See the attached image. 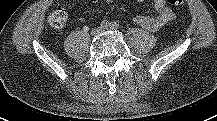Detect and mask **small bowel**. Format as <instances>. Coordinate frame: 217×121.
<instances>
[{"label": "small bowel", "instance_id": "c3829d8e", "mask_svg": "<svg viewBox=\"0 0 217 121\" xmlns=\"http://www.w3.org/2000/svg\"><path fill=\"white\" fill-rule=\"evenodd\" d=\"M98 0H91V2H97ZM108 3L114 0H105ZM137 2H143L145 0H136ZM155 8L158 12L157 16L151 15H137L135 22L149 31H157L166 23L174 20L175 14L173 10L166 4V0H154Z\"/></svg>", "mask_w": 217, "mask_h": 121}]
</instances>
